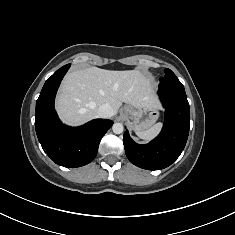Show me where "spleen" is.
Returning a JSON list of instances; mask_svg holds the SVG:
<instances>
[{"label": "spleen", "instance_id": "3e777b00", "mask_svg": "<svg viewBox=\"0 0 235 235\" xmlns=\"http://www.w3.org/2000/svg\"><path fill=\"white\" fill-rule=\"evenodd\" d=\"M161 128H162V123H157L154 126L144 131L136 132V134L140 139H143L145 141H150L159 134Z\"/></svg>", "mask_w": 235, "mask_h": 235}]
</instances>
